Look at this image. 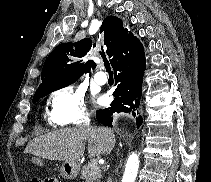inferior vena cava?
<instances>
[{"instance_id":"602c4592","label":"inferior vena cava","mask_w":211,"mask_h":182,"mask_svg":"<svg viewBox=\"0 0 211 182\" xmlns=\"http://www.w3.org/2000/svg\"><path fill=\"white\" fill-rule=\"evenodd\" d=\"M81 127H84V131H90L91 134H100V129H97L96 126H89L88 114L84 117Z\"/></svg>"}]
</instances>
